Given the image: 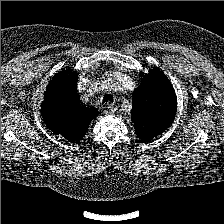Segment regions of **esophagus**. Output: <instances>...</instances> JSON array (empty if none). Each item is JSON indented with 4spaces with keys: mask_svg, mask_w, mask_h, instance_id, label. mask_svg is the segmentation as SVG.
<instances>
[{
    "mask_svg": "<svg viewBox=\"0 0 224 224\" xmlns=\"http://www.w3.org/2000/svg\"><path fill=\"white\" fill-rule=\"evenodd\" d=\"M115 112V107L113 106V104L111 103H107L105 106H104V114H113Z\"/></svg>",
    "mask_w": 224,
    "mask_h": 224,
    "instance_id": "esophagus-1",
    "label": "esophagus"
}]
</instances>
